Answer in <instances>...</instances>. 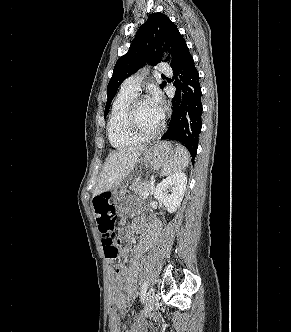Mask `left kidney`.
Segmentation results:
<instances>
[{"instance_id": "5707ae66", "label": "left kidney", "mask_w": 291, "mask_h": 332, "mask_svg": "<svg viewBox=\"0 0 291 332\" xmlns=\"http://www.w3.org/2000/svg\"><path fill=\"white\" fill-rule=\"evenodd\" d=\"M187 184L184 173H175L162 180L155 188L154 198L162 202L169 213H173L180 206Z\"/></svg>"}]
</instances>
